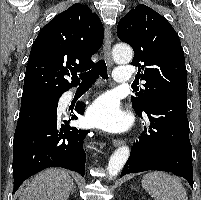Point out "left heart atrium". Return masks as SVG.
Returning <instances> with one entry per match:
<instances>
[{
    "mask_svg": "<svg viewBox=\"0 0 201 200\" xmlns=\"http://www.w3.org/2000/svg\"><path fill=\"white\" fill-rule=\"evenodd\" d=\"M87 121L109 132H121L130 125V118L120 109L117 101L107 95L98 98L91 105Z\"/></svg>",
    "mask_w": 201,
    "mask_h": 200,
    "instance_id": "39dd6f15",
    "label": "left heart atrium"
}]
</instances>
